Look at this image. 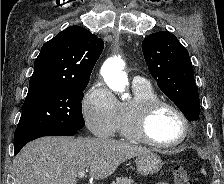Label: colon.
I'll use <instances>...</instances> for the list:
<instances>
[{"instance_id":"colon-1","label":"colon","mask_w":224,"mask_h":184,"mask_svg":"<svg viewBox=\"0 0 224 184\" xmlns=\"http://www.w3.org/2000/svg\"><path fill=\"white\" fill-rule=\"evenodd\" d=\"M173 179L175 184H193V181L186 169L182 165H176L173 169Z\"/></svg>"}]
</instances>
